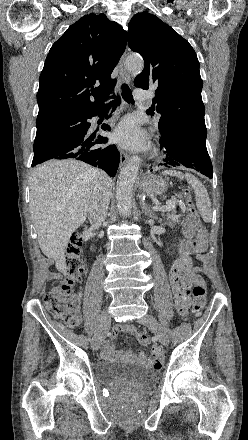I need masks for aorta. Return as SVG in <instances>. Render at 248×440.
I'll use <instances>...</instances> for the list:
<instances>
[{"label": "aorta", "mask_w": 248, "mask_h": 440, "mask_svg": "<svg viewBox=\"0 0 248 440\" xmlns=\"http://www.w3.org/2000/svg\"><path fill=\"white\" fill-rule=\"evenodd\" d=\"M126 69L139 74L144 68V61L139 56H130L125 62ZM140 169V157H132L121 170L116 186V202L122 216L128 217L132 209V191Z\"/></svg>", "instance_id": "aorta-1"}]
</instances>
